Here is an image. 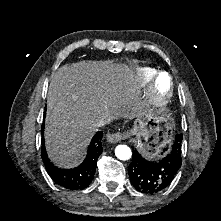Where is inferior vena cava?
<instances>
[{
  "label": "inferior vena cava",
  "instance_id": "602c4592",
  "mask_svg": "<svg viewBox=\"0 0 221 221\" xmlns=\"http://www.w3.org/2000/svg\"><path fill=\"white\" fill-rule=\"evenodd\" d=\"M112 120V117H102L101 119L98 120V122L96 123V126L97 127H102V126H105L107 124H109Z\"/></svg>",
  "mask_w": 221,
  "mask_h": 221
}]
</instances>
